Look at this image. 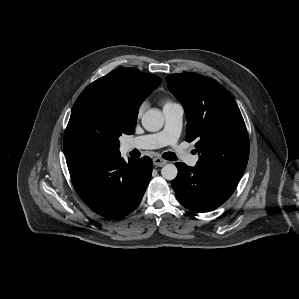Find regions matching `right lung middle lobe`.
<instances>
[{"mask_svg":"<svg viewBox=\"0 0 299 299\" xmlns=\"http://www.w3.org/2000/svg\"><path fill=\"white\" fill-rule=\"evenodd\" d=\"M129 122L118 101L95 92L81 93L64 134L66 161L92 162L119 153V137L131 135Z\"/></svg>","mask_w":299,"mask_h":299,"instance_id":"1","label":"right lung middle lobe"}]
</instances>
